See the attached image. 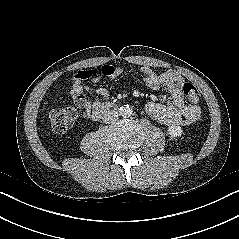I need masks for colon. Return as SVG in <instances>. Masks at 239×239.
<instances>
[{"label": "colon", "instance_id": "obj_1", "mask_svg": "<svg viewBox=\"0 0 239 239\" xmlns=\"http://www.w3.org/2000/svg\"><path fill=\"white\" fill-rule=\"evenodd\" d=\"M182 90L190 103L196 104L200 100L198 88L190 82L182 86ZM76 118V111L72 107L54 109L50 113L51 130L55 134H62L70 129Z\"/></svg>", "mask_w": 239, "mask_h": 239}]
</instances>
